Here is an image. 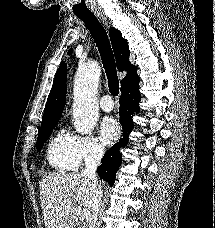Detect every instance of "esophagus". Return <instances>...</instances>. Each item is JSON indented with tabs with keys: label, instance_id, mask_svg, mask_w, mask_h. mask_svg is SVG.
Segmentation results:
<instances>
[{
	"label": "esophagus",
	"instance_id": "1",
	"mask_svg": "<svg viewBox=\"0 0 215 228\" xmlns=\"http://www.w3.org/2000/svg\"><path fill=\"white\" fill-rule=\"evenodd\" d=\"M98 17L102 20L103 24L108 27V21H107V18L104 14H99Z\"/></svg>",
	"mask_w": 215,
	"mask_h": 228
}]
</instances>
